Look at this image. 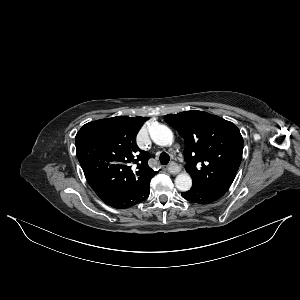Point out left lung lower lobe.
Returning <instances> with one entry per match:
<instances>
[{
    "label": "left lung lower lobe",
    "mask_w": 300,
    "mask_h": 300,
    "mask_svg": "<svg viewBox=\"0 0 300 300\" xmlns=\"http://www.w3.org/2000/svg\"><path fill=\"white\" fill-rule=\"evenodd\" d=\"M224 194L225 193L220 191L207 190L192 186L189 191L182 193V197L191 202L208 204L218 200Z\"/></svg>",
    "instance_id": "obj_1"
}]
</instances>
